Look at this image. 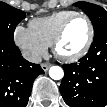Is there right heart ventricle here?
<instances>
[{
    "label": "right heart ventricle",
    "instance_id": "e07e8e85",
    "mask_svg": "<svg viewBox=\"0 0 107 107\" xmlns=\"http://www.w3.org/2000/svg\"><path fill=\"white\" fill-rule=\"evenodd\" d=\"M76 13L75 11L64 10L49 16L36 18L30 21L29 28L42 42L50 46L63 22Z\"/></svg>",
    "mask_w": 107,
    "mask_h": 107
}]
</instances>
